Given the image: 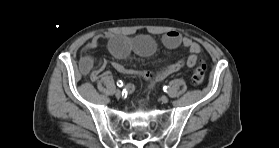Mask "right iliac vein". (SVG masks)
Here are the masks:
<instances>
[{
  "instance_id": "right-iliac-vein-1",
  "label": "right iliac vein",
  "mask_w": 279,
  "mask_h": 148,
  "mask_svg": "<svg viewBox=\"0 0 279 148\" xmlns=\"http://www.w3.org/2000/svg\"><path fill=\"white\" fill-rule=\"evenodd\" d=\"M115 96H116L117 98H120V97H121V90L117 89V90L115 91Z\"/></svg>"
}]
</instances>
